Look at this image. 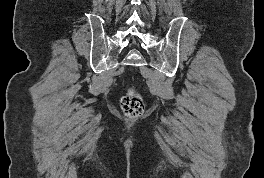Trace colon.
Here are the masks:
<instances>
[{
  "instance_id": "obj_1",
  "label": "colon",
  "mask_w": 264,
  "mask_h": 178,
  "mask_svg": "<svg viewBox=\"0 0 264 178\" xmlns=\"http://www.w3.org/2000/svg\"><path fill=\"white\" fill-rule=\"evenodd\" d=\"M121 107L128 116L136 117L144 111V102L139 94L129 91L122 98Z\"/></svg>"
}]
</instances>
